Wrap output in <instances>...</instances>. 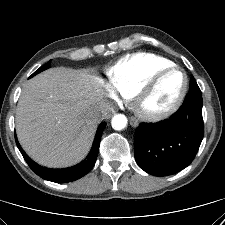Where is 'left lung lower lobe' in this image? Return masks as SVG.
I'll return each mask as SVG.
<instances>
[{
    "mask_svg": "<svg viewBox=\"0 0 225 225\" xmlns=\"http://www.w3.org/2000/svg\"><path fill=\"white\" fill-rule=\"evenodd\" d=\"M201 92H189L171 118L142 123L135 135V160L154 176H168L187 167L204 135Z\"/></svg>",
    "mask_w": 225,
    "mask_h": 225,
    "instance_id": "left-lung-lower-lobe-1",
    "label": "left lung lower lobe"
}]
</instances>
